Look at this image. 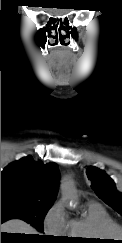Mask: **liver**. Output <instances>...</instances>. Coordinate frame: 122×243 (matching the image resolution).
I'll use <instances>...</instances> for the list:
<instances>
[{
    "label": "liver",
    "instance_id": "obj_1",
    "mask_svg": "<svg viewBox=\"0 0 122 243\" xmlns=\"http://www.w3.org/2000/svg\"><path fill=\"white\" fill-rule=\"evenodd\" d=\"M1 232L37 234V231L29 224L19 219L9 220L1 225Z\"/></svg>",
    "mask_w": 122,
    "mask_h": 243
}]
</instances>
